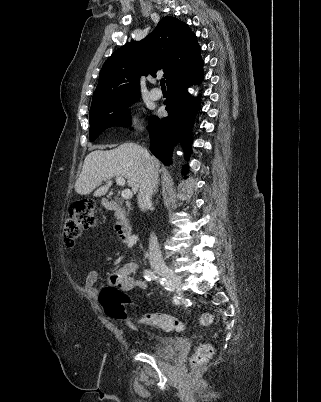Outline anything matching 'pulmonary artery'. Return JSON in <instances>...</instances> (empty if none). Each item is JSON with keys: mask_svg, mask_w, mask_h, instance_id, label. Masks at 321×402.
I'll use <instances>...</instances> for the list:
<instances>
[{"mask_svg": "<svg viewBox=\"0 0 321 402\" xmlns=\"http://www.w3.org/2000/svg\"><path fill=\"white\" fill-rule=\"evenodd\" d=\"M150 97H151V99H153V100H158V99H160V98H161V91H160L159 89H157V88H152V89L150 90Z\"/></svg>", "mask_w": 321, "mask_h": 402, "instance_id": "1", "label": "pulmonary artery"}]
</instances>
